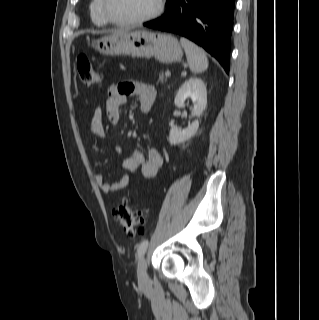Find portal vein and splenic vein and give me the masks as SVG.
Returning <instances> with one entry per match:
<instances>
[{
    "label": "portal vein and splenic vein",
    "mask_w": 319,
    "mask_h": 320,
    "mask_svg": "<svg viewBox=\"0 0 319 320\" xmlns=\"http://www.w3.org/2000/svg\"><path fill=\"white\" fill-rule=\"evenodd\" d=\"M165 75H166L167 77H169V76L171 75L170 71H166V72H165Z\"/></svg>",
    "instance_id": "obj_1"
}]
</instances>
